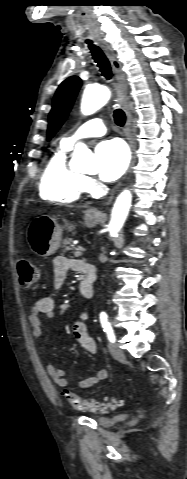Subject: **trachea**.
Masks as SVG:
<instances>
[{"label":"trachea","instance_id":"obj_1","mask_svg":"<svg viewBox=\"0 0 187 479\" xmlns=\"http://www.w3.org/2000/svg\"><path fill=\"white\" fill-rule=\"evenodd\" d=\"M86 43L88 44V47L93 55V59L97 63L98 67L100 68L102 75L108 80L111 79V76H112L111 67L104 53L101 51V49L98 46H95L91 41H87ZM113 116H114L115 123L118 126L124 125L126 121V116L122 109L120 108L116 109L114 111Z\"/></svg>","mask_w":187,"mask_h":479}]
</instances>
